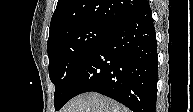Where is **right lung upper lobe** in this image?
Returning <instances> with one entry per match:
<instances>
[{
  "label": "right lung upper lobe",
  "instance_id": "cb5924a9",
  "mask_svg": "<svg viewBox=\"0 0 193 112\" xmlns=\"http://www.w3.org/2000/svg\"><path fill=\"white\" fill-rule=\"evenodd\" d=\"M147 3V0H58L50 22L49 39L64 28L81 23L112 28Z\"/></svg>",
  "mask_w": 193,
  "mask_h": 112
}]
</instances>
